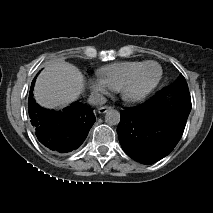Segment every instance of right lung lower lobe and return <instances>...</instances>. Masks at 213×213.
<instances>
[{
	"instance_id": "98d812e1",
	"label": "right lung lower lobe",
	"mask_w": 213,
	"mask_h": 213,
	"mask_svg": "<svg viewBox=\"0 0 213 213\" xmlns=\"http://www.w3.org/2000/svg\"><path fill=\"white\" fill-rule=\"evenodd\" d=\"M34 81L31 84L28 111L38 140L60 153L77 149L95 122L93 110L80 102H75L63 111L45 109L33 98Z\"/></svg>"
}]
</instances>
